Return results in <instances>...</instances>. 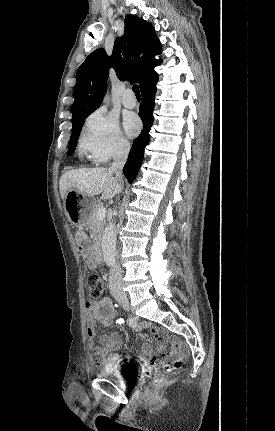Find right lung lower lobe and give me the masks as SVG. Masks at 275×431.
<instances>
[{"mask_svg": "<svg viewBox=\"0 0 275 431\" xmlns=\"http://www.w3.org/2000/svg\"><path fill=\"white\" fill-rule=\"evenodd\" d=\"M156 83L153 82L142 93L143 101L139 107V116L143 121V131L140 136L134 140L128 160L123 168V173L129 183H132L143 161V153L146 145L149 143V131L153 124V109H154V96L156 93Z\"/></svg>", "mask_w": 275, "mask_h": 431, "instance_id": "1", "label": "right lung lower lobe"}]
</instances>
